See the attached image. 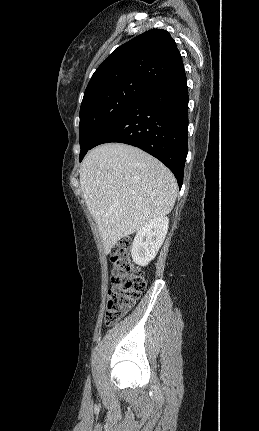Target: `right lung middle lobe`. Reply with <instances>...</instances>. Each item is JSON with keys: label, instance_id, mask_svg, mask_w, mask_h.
<instances>
[{"label": "right lung middle lobe", "instance_id": "obj_1", "mask_svg": "<svg viewBox=\"0 0 259 431\" xmlns=\"http://www.w3.org/2000/svg\"><path fill=\"white\" fill-rule=\"evenodd\" d=\"M149 88L139 83L102 90L83 99L80 108V160L97 137Z\"/></svg>", "mask_w": 259, "mask_h": 431}]
</instances>
